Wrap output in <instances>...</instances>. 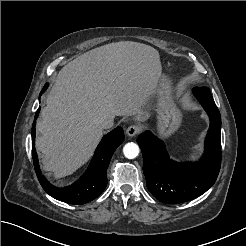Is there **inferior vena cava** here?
Segmentation results:
<instances>
[{
  "mask_svg": "<svg viewBox=\"0 0 246 246\" xmlns=\"http://www.w3.org/2000/svg\"><path fill=\"white\" fill-rule=\"evenodd\" d=\"M99 124L103 129H109V128L113 127L114 116H107V117L102 118L100 120Z\"/></svg>",
  "mask_w": 246,
  "mask_h": 246,
  "instance_id": "inferior-vena-cava-1",
  "label": "inferior vena cava"
}]
</instances>
